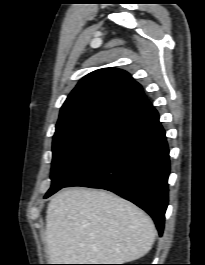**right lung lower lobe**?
Here are the masks:
<instances>
[{"mask_svg": "<svg viewBox=\"0 0 205 265\" xmlns=\"http://www.w3.org/2000/svg\"><path fill=\"white\" fill-rule=\"evenodd\" d=\"M169 172L165 131L152 107L128 123L65 187L101 188L120 195L145 210L161 236Z\"/></svg>", "mask_w": 205, "mask_h": 265, "instance_id": "right-lung-lower-lobe-1", "label": "right lung lower lobe"}]
</instances>
